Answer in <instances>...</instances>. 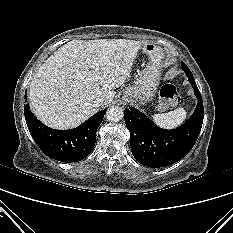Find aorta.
<instances>
[{"label": "aorta", "instance_id": "1", "mask_svg": "<svg viewBox=\"0 0 233 233\" xmlns=\"http://www.w3.org/2000/svg\"><path fill=\"white\" fill-rule=\"evenodd\" d=\"M123 109L118 106H113L106 112L107 120L110 122H118L123 118Z\"/></svg>", "mask_w": 233, "mask_h": 233}]
</instances>
